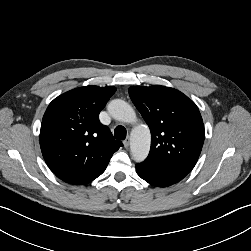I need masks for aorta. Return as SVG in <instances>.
Instances as JSON below:
<instances>
[{"mask_svg": "<svg viewBox=\"0 0 251 251\" xmlns=\"http://www.w3.org/2000/svg\"><path fill=\"white\" fill-rule=\"evenodd\" d=\"M107 109L109 114L118 121L133 122L136 119L134 109L121 99L110 101ZM150 142L149 127L145 124L136 125L131 132L130 143L131 154L136 162H142L146 159L150 150Z\"/></svg>", "mask_w": 251, "mask_h": 251, "instance_id": "aorta-1", "label": "aorta"}]
</instances>
